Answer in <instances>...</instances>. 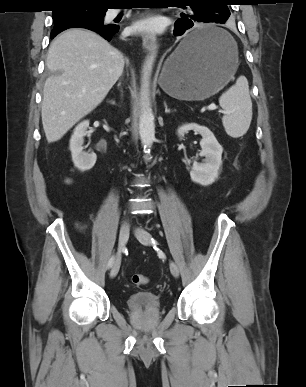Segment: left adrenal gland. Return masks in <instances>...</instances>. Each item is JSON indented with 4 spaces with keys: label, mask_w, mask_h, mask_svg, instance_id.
<instances>
[{
    "label": "left adrenal gland",
    "mask_w": 306,
    "mask_h": 387,
    "mask_svg": "<svg viewBox=\"0 0 306 387\" xmlns=\"http://www.w3.org/2000/svg\"><path fill=\"white\" fill-rule=\"evenodd\" d=\"M164 108H165V113H172L176 111V109H169L166 101H164Z\"/></svg>",
    "instance_id": "1"
}]
</instances>
